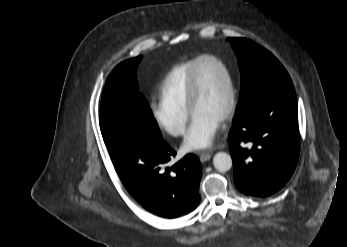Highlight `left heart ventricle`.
<instances>
[{
	"label": "left heart ventricle",
	"instance_id": "obj_1",
	"mask_svg": "<svg viewBox=\"0 0 347 247\" xmlns=\"http://www.w3.org/2000/svg\"><path fill=\"white\" fill-rule=\"evenodd\" d=\"M199 95L194 114L221 121L228 105V83L225 73L213 61H203L198 69Z\"/></svg>",
	"mask_w": 347,
	"mask_h": 247
}]
</instances>
